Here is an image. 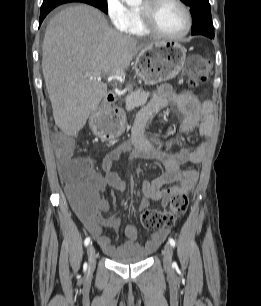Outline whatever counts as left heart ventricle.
I'll list each match as a JSON object with an SVG mask.
<instances>
[{
  "label": "left heart ventricle",
  "instance_id": "1",
  "mask_svg": "<svg viewBox=\"0 0 261 306\" xmlns=\"http://www.w3.org/2000/svg\"><path fill=\"white\" fill-rule=\"evenodd\" d=\"M154 18L157 27L166 34L176 35L185 28L183 11L170 0H164L157 6Z\"/></svg>",
  "mask_w": 261,
  "mask_h": 306
}]
</instances>
